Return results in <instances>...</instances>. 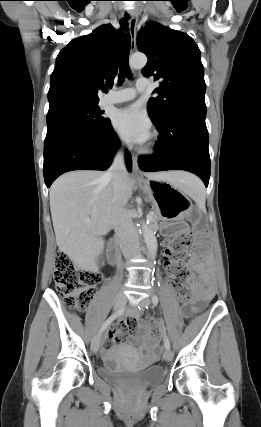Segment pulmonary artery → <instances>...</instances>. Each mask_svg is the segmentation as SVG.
<instances>
[{
    "mask_svg": "<svg viewBox=\"0 0 261 427\" xmlns=\"http://www.w3.org/2000/svg\"><path fill=\"white\" fill-rule=\"evenodd\" d=\"M149 87V81L146 78H140L135 87H129L117 92H112L106 95L102 102V106L122 103L133 100L138 92H143Z\"/></svg>",
    "mask_w": 261,
    "mask_h": 427,
    "instance_id": "1",
    "label": "pulmonary artery"
}]
</instances>
